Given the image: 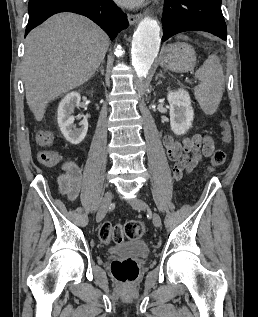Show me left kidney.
<instances>
[{
	"label": "left kidney",
	"mask_w": 258,
	"mask_h": 317,
	"mask_svg": "<svg viewBox=\"0 0 258 317\" xmlns=\"http://www.w3.org/2000/svg\"><path fill=\"white\" fill-rule=\"evenodd\" d=\"M167 100L170 104V126L175 134H185L192 126L194 110L189 92L184 88L169 90Z\"/></svg>",
	"instance_id": "5707ae66"
}]
</instances>
